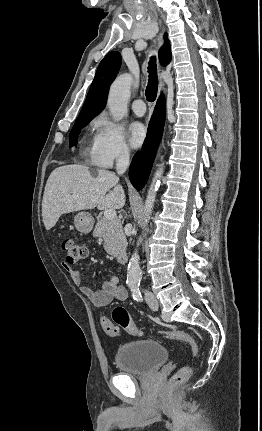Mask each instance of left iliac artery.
Returning <instances> with one entry per match:
<instances>
[{
    "label": "left iliac artery",
    "instance_id": "1",
    "mask_svg": "<svg viewBox=\"0 0 262 431\" xmlns=\"http://www.w3.org/2000/svg\"><path fill=\"white\" fill-rule=\"evenodd\" d=\"M130 287H131V292H132L133 298L136 301H141L142 300V296H141V292L139 290V283H134Z\"/></svg>",
    "mask_w": 262,
    "mask_h": 431
}]
</instances>
